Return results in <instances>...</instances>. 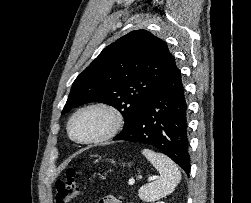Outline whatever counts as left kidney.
<instances>
[{
	"mask_svg": "<svg viewBox=\"0 0 251 203\" xmlns=\"http://www.w3.org/2000/svg\"><path fill=\"white\" fill-rule=\"evenodd\" d=\"M157 203H165V202H157Z\"/></svg>",
	"mask_w": 251,
	"mask_h": 203,
	"instance_id": "1",
	"label": "left kidney"
}]
</instances>
